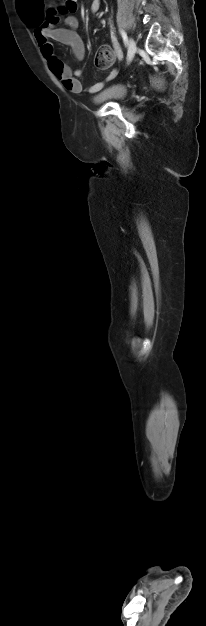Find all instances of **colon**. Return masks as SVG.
I'll return each mask as SVG.
<instances>
[{
    "label": "colon",
    "instance_id": "obj_1",
    "mask_svg": "<svg viewBox=\"0 0 206 626\" xmlns=\"http://www.w3.org/2000/svg\"><path fill=\"white\" fill-rule=\"evenodd\" d=\"M27 18L28 16L26 17V19ZM114 59H115L114 49L108 45H103L102 47H100L96 55L95 64L99 69L105 70V69H108L113 64ZM156 83H160V80H156Z\"/></svg>",
    "mask_w": 206,
    "mask_h": 626
}]
</instances>
